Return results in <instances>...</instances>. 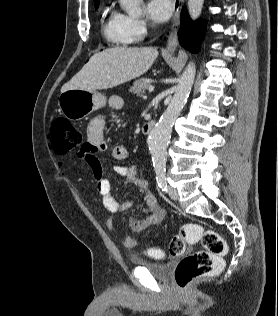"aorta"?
Segmentation results:
<instances>
[{
	"mask_svg": "<svg viewBox=\"0 0 278 316\" xmlns=\"http://www.w3.org/2000/svg\"><path fill=\"white\" fill-rule=\"evenodd\" d=\"M141 2L142 0H120L122 9L132 17L141 15ZM203 3L204 0H188V12L192 20L200 17ZM195 75V64L190 62L179 80L170 104L159 122L149 133L147 143L152 156L153 167L156 171H163L166 167L167 147L170 143L172 127L189 97Z\"/></svg>",
	"mask_w": 278,
	"mask_h": 316,
	"instance_id": "1",
	"label": "aorta"
}]
</instances>
